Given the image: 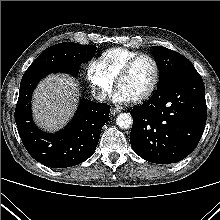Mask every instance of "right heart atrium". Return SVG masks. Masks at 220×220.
<instances>
[{
	"label": "right heart atrium",
	"mask_w": 220,
	"mask_h": 220,
	"mask_svg": "<svg viewBox=\"0 0 220 220\" xmlns=\"http://www.w3.org/2000/svg\"><path fill=\"white\" fill-rule=\"evenodd\" d=\"M87 77L95 96L103 100L111 92L114 80L104 69L99 60H92L87 67Z\"/></svg>",
	"instance_id": "1"
}]
</instances>
